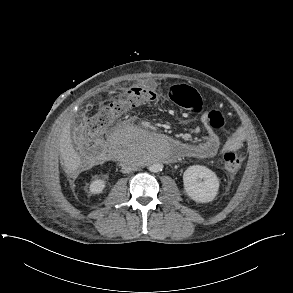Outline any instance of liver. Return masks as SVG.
Returning a JSON list of instances; mask_svg holds the SVG:
<instances>
[{"label":"liver","instance_id":"6515ba94","mask_svg":"<svg viewBox=\"0 0 293 293\" xmlns=\"http://www.w3.org/2000/svg\"><path fill=\"white\" fill-rule=\"evenodd\" d=\"M71 121L62 128L60 135V156L63 161V169L67 174L75 172L81 165V158L72 146L70 135Z\"/></svg>","mask_w":293,"mask_h":293}]
</instances>
